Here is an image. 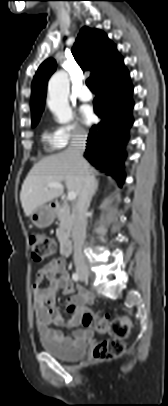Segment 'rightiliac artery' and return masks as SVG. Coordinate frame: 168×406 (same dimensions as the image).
I'll return each mask as SVG.
<instances>
[{"label": "right iliac artery", "instance_id": "obj_1", "mask_svg": "<svg viewBox=\"0 0 168 406\" xmlns=\"http://www.w3.org/2000/svg\"><path fill=\"white\" fill-rule=\"evenodd\" d=\"M72 279H73L74 281H78V280H79V275H78L77 273H73Z\"/></svg>", "mask_w": 168, "mask_h": 406}]
</instances>
